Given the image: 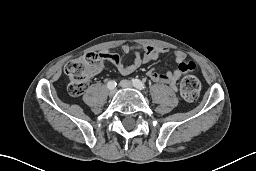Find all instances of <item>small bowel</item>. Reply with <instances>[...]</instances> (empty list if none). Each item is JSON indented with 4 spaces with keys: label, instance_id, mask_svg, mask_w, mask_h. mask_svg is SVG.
<instances>
[{
    "label": "small bowel",
    "instance_id": "c3829d8e",
    "mask_svg": "<svg viewBox=\"0 0 256 171\" xmlns=\"http://www.w3.org/2000/svg\"><path fill=\"white\" fill-rule=\"evenodd\" d=\"M122 50L124 53H132L136 55V58L132 63L126 64L119 55L112 54L107 50H103L99 54L102 62H110L114 64L122 74H130L142 65L156 60L161 54L170 52V50L165 47L141 44H125L122 46ZM141 53L143 54L142 57L140 56ZM172 57L174 62L178 64V69L168 72H160L155 69H151L148 71L147 75L154 82L168 85L173 91H176L177 82L185 74L182 70V66L187 63V61L186 55L179 50L173 51Z\"/></svg>",
    "mask_w": 256,
    "mask_h": 171
}]
</instances>
